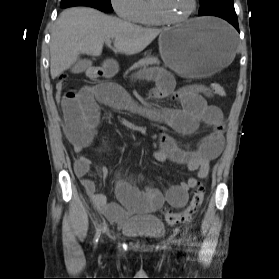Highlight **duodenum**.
<instances>
[{
    "label": "duodenum",
    "mask_w": 279,
    "mask_h": 279,
    "mask_svg": "<svg viewBox=\"0 0 279 279\" xmlns=\"http://www.w3.org/2000/svg\"><path fill=\"white\" fill-rule=\"evenodd\" d=\"M102 68L101 67H96L94 69H92L91 71V74L94 76V77H99L102 75Z\"/></svg>",
    "instance_id": "obj_1"
}]
</instances>
